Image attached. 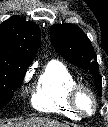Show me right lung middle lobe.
Masks as SVG:
<instances>
[{"instance_id":"right-lung-middle-lobe-1","label":"right lung middle lobe","mask_w":108,"mask_h":127,"mask_svg":"<svg viewBox=\"0 0 108 127\" xmlns=\"http://www.w3.org/2000/svg\"><path fill=\"white\" fill-rule=\"evenodd\" d=\"M28 64L0 56V107L8 103L23 82Z\"/></svg>"}]
</instances>
